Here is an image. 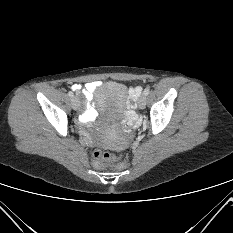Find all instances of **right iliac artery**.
I'll return each mask as SVG.
<instances>
[{
    "label": "right iliac artery",
    "mask_w": 233,
    "mask_h": 233,
    "mask_svg": "<svg viewBox=\"0 0 233 233\" xmlns=\"http://www.w3.org/2000/svg\"><path fill=\"white\" fill-rule=\"evenodd\" d=\"M68 96L72 98L74 96V94L71 91H69Z\"/></svg>",
    "instance_id": "right-iliac-artery-1"
}]
</instances>
